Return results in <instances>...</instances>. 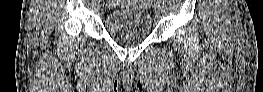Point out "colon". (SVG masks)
Masks as SVG:
<instances>
[{
    "label": "colon",
    "mask_w": 263,
    "mask_h": 92,
    "mask_svg": "<svg viewBox=\"0 0 263 92\" xmlns=\"http://www.w3.org/2000/svg\"><path fill=\"white\" fill-rule=\"evenodd\" d=\"M144 3L150 4L151 2H155V1H143Z\"/></svg>",
    "instance_id": "1"
}]
</instances>
